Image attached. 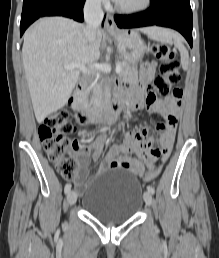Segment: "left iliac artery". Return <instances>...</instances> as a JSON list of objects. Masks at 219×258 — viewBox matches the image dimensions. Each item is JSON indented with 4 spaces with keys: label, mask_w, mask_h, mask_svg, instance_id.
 Instances as JSON below:
<instances>
[{
    "label": "left iliac artery",
    "mask_w": 219,
    "mask_h": 258,
    "mask_svg": "<svg viewBox=\"0 0 219 258\" xmlns=\"http://www.w3.org/2000/svg\"><path fill=\"white\" fill-rule=\"evenodd\" d=\"M147 191L150 192L151 194H154L155 193V189L153 186H147Z\"/></svg>",
    "instance_id": "44dca946"
}]
</instances>
